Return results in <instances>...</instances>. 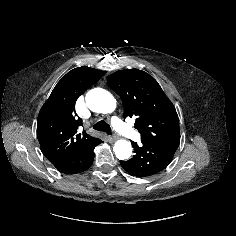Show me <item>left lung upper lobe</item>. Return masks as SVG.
<instances>
[{"mask_svg": "<svg viewBox=\"0 0 236 236\" xmlns=\"http://www.w3.org/2000/svg\"><path fill=\"white\" fill-rule=\"evenodd\" d=\"M107 82L121 97L124 118H136L141 142L180 141L176 109L151 75L139 69L120 70Z\"/></svg>", "mask_w": 236, "mask_h": 236, "instance_id": "5c2ea615", "label": "left lung upper lobe"}]
</instances>
